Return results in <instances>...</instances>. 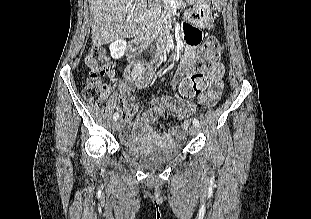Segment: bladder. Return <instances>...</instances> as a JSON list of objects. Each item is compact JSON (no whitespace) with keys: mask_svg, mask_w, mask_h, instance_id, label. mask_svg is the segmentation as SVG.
<instances>
[{"mask_svg":"<svg viewBox=\"0 0 311 219\" xmlns=\"http://www.w3.org/2000/svg\"><path fill=\"white\" fill-rule=\"evenodd\" d=\"M124 148L130 154L150 162L171 160L182 152V145L180 144L157 147L142 141L127 142L124 144Z\"/></svg>","mask_w":311,"mask_h":219,"instance_id":"obj_1","label":"bladder"}]
</instances>
